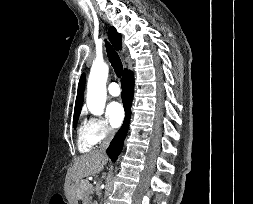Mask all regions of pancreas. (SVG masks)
Masks as SVG:
<instances>
[{
	"instance_id": "obj_1",
	"label": "pancreas",
	"mask_w": 253,
	"mask_h": 204,
	"mask_svg": "<svg viewBox=\"0 0 253 204\" xmlns=\"http://www.w3.org/2000/svg\"><path fill=\"white\" fill-rule=\"evenodd\" d=\"M77 193L81 196L82 200L90 201V195L93 193V187L87 180H81L77 187Z\"/></svg>"
}]
</instances>
